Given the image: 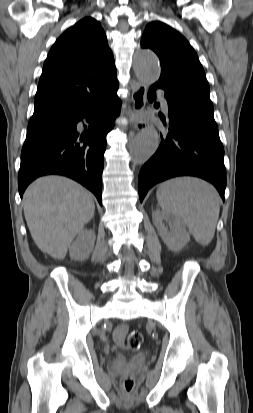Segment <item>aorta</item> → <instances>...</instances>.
<instances>
[{
    "label": "aorta",
    "instance_id": "1",
    "mask_svg": "<svg viewBox=\"0 0 253 413\" xmlns=\"http://www.w3.org/2000/svg\"><path fill=\"white\" fill-rule=\"evenodd\" d=\"M134 70L137 78L147 83H154L160 77V66L158 57L154 52L141 49L134 56ZM160 143L157 131L148 127L139 133L130 147L132 162L143 164L155 153Z\"/></svg>",
    "mask_w": 253,
    "mask_h": 413
}]
</instances>
